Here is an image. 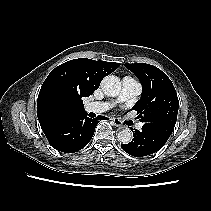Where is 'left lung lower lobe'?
Segmentation results:
<instances>
[{
  "mask_svg": "<svg viewBox=\"0 0 211 211\" xmlns=\"http://www.w3.org/2000/svg\"><path fill=\"white\" fill-rule=\"evenodd\" d=\"M133 131V130H132ZM133 140L128 144H121V148L135 157H143L160 150L165 140L146 130L133 131Z\"/></svg>",
  "mask_w": 211,
  "mask_h": 211,
  "instance_id": "obj_1",
  "label": "left lung lower lobe"
}]
</instances>
